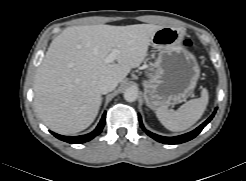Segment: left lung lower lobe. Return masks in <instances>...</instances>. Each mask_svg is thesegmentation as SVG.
Instances as JSON below:
<instances>
[{
    "label": "left lung lower lobe",
    "mask_w": 246,
    "mask_h": 181,
    "mask_svg": "<svg viewBox=\"0 0 246 181\" xmlns=\"http://www.w3.org/2000/svg\"><path fill=\"white\" fill-rule=\"evenodd\" d=\"M215 112H216V109H215L214 113L204 123H202L199 127H197L195 130H193L189 133L180 135V136H176V137H164V136L154 134V133H152V132H150L144 128L140 117H139V121H140L141 128L150 137H152L156 141L161 142V143H165V144H180V143L187 142V141L193 139L194 137H196L202 131V129L211 121V119L215 115Z\"/></svg>",
    "instance_id": "0a47b994"
}]
</instances>
